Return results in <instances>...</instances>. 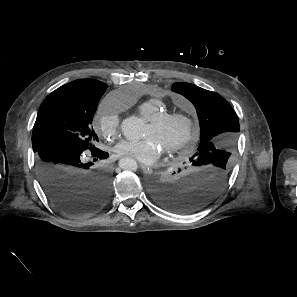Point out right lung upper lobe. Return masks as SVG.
I'll return each mask as SVG.
<instances>
[{
	"label": "right lung upper lobe",
	"instance_id": "1",
	"mask_svg": "<svg viewBox=\"0 0 297 297\" xmlns=\"http://www.w3.org/2000/svg\"><path fill=\"white\" fill-rule=\"evenodd\" d=\"M105 88H107V86L98 80L80 79L59 87L58 89L53 91L45 100L50 99L51 97L64 91L77 90L87 93H93L104 91Z\"/></svg>",
	"mask_w": 297,
	"mask_h": 297
}]
</instances>
